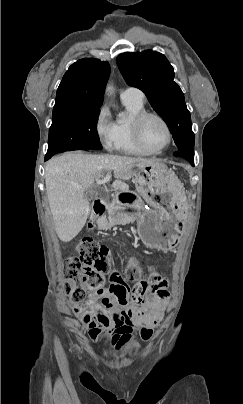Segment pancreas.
<instances>
[{"instance_id":"1","label":"pancreas","mask_w":243,"mask_h":404,"mask_svg":"<svg viewBox=\"0 0 243 404\" xmlns=\"http://www.w3.org/2000/svg\"><path fill=\"white\" fill-rule=\"evenodd\" d=\"M123 210L124 208H121V206H111V208H108V213H105L104 218H101L97 222L99 230H110V228L118 226V224H122L123 226L129 223L134 224L135 214H123Z\"/></svg>"}]
</instances>
